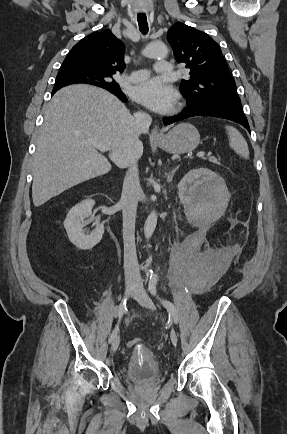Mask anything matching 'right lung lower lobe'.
<instances>
[{"label":"right lung lower lobe","instance_id":"1","mask_svg":"<svg viewBox=\"0 0 287 434\" xmlns=\"http://www.w3.org/2000/svg\"><path fill=\"white\" fill-rule=\"evenodd\" d=\"M55 92H56V91H55ZM55 92H52V95H53ZM110 92H111V91H110ZM111 93H113L115 96H117L121 101H123V102H126V101H127V98H126L125 94H124L122 91L111 92Z\"/></svg>","mask_w":287,"mask_h":434}]
</instances>
